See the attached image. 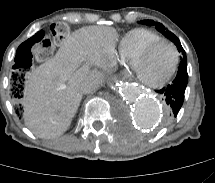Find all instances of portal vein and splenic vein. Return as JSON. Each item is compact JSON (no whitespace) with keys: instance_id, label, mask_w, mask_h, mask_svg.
<instances>
[{"instance_id":"18ae733b","label":"portal vein and splenic vein","mask_w":215,"mask_h":183,"mask_svg":"<svg viewBox=\"0 0 215 183\" xmlns=\"http://www.w3.org/2000/svg\"><path fill=\"white\" fill-rule=\"evenodd\" d=\"M65 88V86L63 85V86H61V89H64Z\"/></svg>"}]
</instances>
